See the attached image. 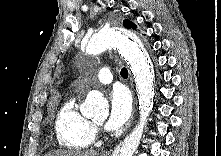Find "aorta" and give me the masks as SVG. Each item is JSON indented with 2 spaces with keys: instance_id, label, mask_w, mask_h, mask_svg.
I'll return each mask as SVG.
<instances>
[{
  "instance_id": "aorta-1",
  "label": "aorta",
  "mask_w": 221,
  "mask_h": 156,
  "mask_svg": "<svg viewBox=\"0 0 221 156\" xmlns=\"http://www.w3.org/2000/svg\"><path fill=\"white\" fill-rule=\"evenodd\" d=\"M106 49H116L130 66L133 73L139 100V122L125 138L120 151L114 156H133L137 150L146 126L148 116L153 108L154 70L150 57L139 38L132 32L110 27L101 30L89 39L87 54H98ZM87 118L105 119L108 116V102L102 93L92 90L80 108Z\"/></svg>"
}]
</instances>
